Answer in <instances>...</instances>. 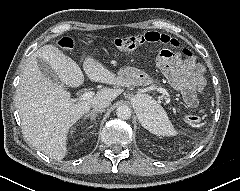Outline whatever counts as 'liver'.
Wrapping results in <instances>:
<instances>
[{"label": "liver", "mask_w": 240, "mask_h": 191, "mask_svg": "<svg viewBox=\"0 0 240 191\" xmlns=\"http://www.w3.org/2000/svg\"><path fill=\"white\" fill-rule=\"evenodd\" d=\"M90 36V35H89ZM44 60L66 86L78 87L84 82L80 67L54 45L39 48L26 61L16 90L15 102L24 137L30 145L54 160L67 155V133L96 100L110 103L120 94L119 89L102 88L87 100L74 102L61 84L47 79L37 59ZM83 69L91 81L123 86L112 71L92 57L83 62Z\"/></svg>", "instance_id": "1"}]
</instances>
